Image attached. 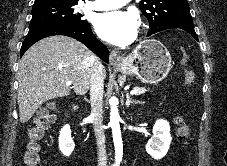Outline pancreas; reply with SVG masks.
Listing matches in <instances>:
<instances>
[{"label": "pancreas", "mask_w": 227, "mask_h": 166, "mask_svg": "<svg viewBox=\"0 0 227 166\" xmlns=\"http://www.w3.org/2000/svg\"><path fill=\"white\" fill-rule=\"evenodd\" d=\"M137 89H139V93L137 95L143 94L147 91V89L145 87H140V88H137Z\"/></svg>", "instance_id": "pancreas-1"}]
</instances>
